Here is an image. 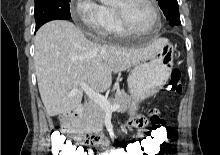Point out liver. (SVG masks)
Here are the masks:
<instances>
[{"label": "liver", "mask_w": 220, "mask_h": 155, "mask_svg": "<svg viewBox=\"0 0 220 155\" xmlns=\"http://www.w3.org/2000/svg\"><path fill=\"white\" fill-rule=\"evenodd\" d=\"M158 40L142 49L100 45L88 40L73 23L53 20L35 36V70L40 96L48 116L67 113L82 101L79 82L103 92L112 74L151 58L162 46ZM73 90L74 95H69Z\"/></svg>", "instance_id": "liver-1"}]
</instances>
